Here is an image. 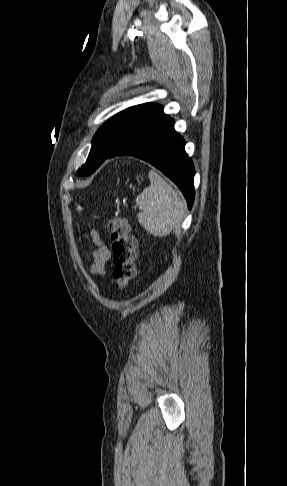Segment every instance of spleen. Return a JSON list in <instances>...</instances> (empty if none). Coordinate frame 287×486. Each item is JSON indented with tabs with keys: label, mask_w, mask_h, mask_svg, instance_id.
Instances as JSON below:
<instances>
[{
	"label": "spleen",
	"mask_w": 287,
	"mask_h": 486,
	"mask_svg": "<svg viewBox=\"0 0 287 486\" xmlns=\"http://www.w3.org/2000/svg\"><path fill=\"white\" fill-rule=\"evenodd\" d=\"M149 179L150 186L135 199L142 208L137 219L150 234L164 237L180 224L186 204L155 171L149 173Z\"/></svg>",
	"instance_id": "spleen-1"
}]
</instances>
